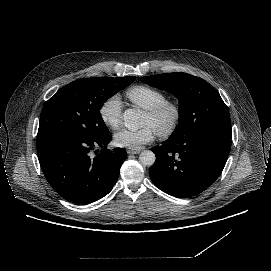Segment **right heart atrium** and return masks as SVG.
I'll return each instance as SVG.
<instances>
[{"label": "right heart atrium", "instance_id": "d8ad5b80", "mask_svg": "<svg viewBox=\"0 0 271 271\" xmlns=\"http://www.w3.org/2000/svg\"><path fill=\"white\" fill-rule=\"evenodd\" d=\"M122 100L118 93L106 98L98 108V115L101 121L110 129L115 130L121 124Z\"/></svg>", "mask_w": 271, "mask_h": 271}]
</instances>
